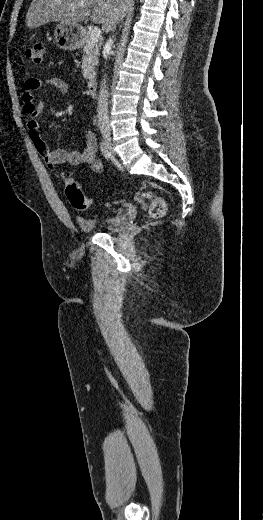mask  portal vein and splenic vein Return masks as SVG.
Returning <instances> with one entry per match:
<instances>
[{"label": "portal vein and splenic vein", "instance_id": "obj_1", "mask_svg": "<svg viewBox=\"0 0 263 520\" xmlns=\"http://www.w3.org/2000/svg\"><path fill=\"white\" fill-rule=\"evenodd\" d=\"M100 37H101V30H100V28L99 27H94L91 30V33H90V41H91V43L98 42Z\"/></svg>", "mask_w": 263, "mask_h": 520}]
</instances>
